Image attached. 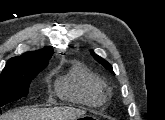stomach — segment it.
Segmentation results:
<instances>
[{
    "label": "stomach",
    "instance_id": "obj_1",
    "mask_svg": "<svg viewBox=\"0 0 165 120\" xmlns=\"http://www.w3.org/2000/svg\"><path fill=\"white\" fill-rule=\"evenodd\" d=\"M77 119L89 120V119H96V117H94L92 115L82 114V115L76 117V120Z\"/></svg>",
    "mask_w": 165,
    "mask_h": 120
}]
</instances>
